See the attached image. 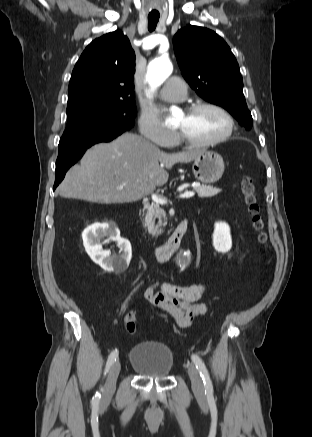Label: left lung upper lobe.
Wrapping results in <instances>:
<instances>
[{"mask_svg": "<svg viewBox=\"0 0 312 437\" xmlns=\"http://www.w3.org/2000/svg\"><path fill=\"white\" fill-rule=\"evenodd\" d=\"M185 80L204 100L222 106L250 129L252 116L243 95L239 65L227 43L214 31L189 25L173 38Z\"/></svg>", "mask_w": 312, "mask_h": 437, "instance_id": "left-lung-upper-lobe-1", "label": "left lung upper lobe"}]
</instances>
